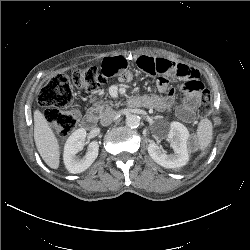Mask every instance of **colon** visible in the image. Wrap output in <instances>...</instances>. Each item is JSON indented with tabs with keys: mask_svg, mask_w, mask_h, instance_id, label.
<instances>
[{
	"mask_svg": "<svg viewBox=\"0 0 250 250\" xmlns=\"http://www.w3.org/2000/svg\"><path fill=\"white\" fill-rule=\"evenodd\" d=\"M107 79L106 75L96 67H87L76 70L71 79L65 74L51 78L40 92L39 104L46 109V117L60 136L72 133L77 125L79 110L74 102L73 85L86 92H93ZM213 110L211 94L202 89L199 93L198 112L209 115ZM216 124L219 117H214Z\"/></svg>",
	"mask_w": 250,
	"mask_h": 250,
	"instance_id": "obj_1",
	"label": "colon"
}]
</instances>
